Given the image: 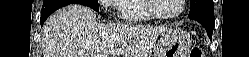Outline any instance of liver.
Returning <instances> with one entry per match:
<instances>
[{"label":"liver","mask_w":249,"mask_h":57,"mask_svg":"<svg viewBox=\"0 0 249 57\" xmlns=\"http://www.w3.org/2000/svg\"><path fill=\"white\" fill-rule=\"evenodd\" d=\"M96 19L92 9L80 4L52 14L43 26V57H150L165 31L130 23L98 24Z\"/></svg>","instance_id":"obj_1"}]
</instances>
